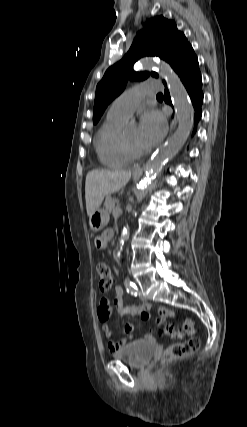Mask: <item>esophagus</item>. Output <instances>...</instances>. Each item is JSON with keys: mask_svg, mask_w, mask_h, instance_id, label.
<instances>
[{"mask_svg": "<svg viewBox=\"0 0 247 427\" xmlns=\"http://www.w3.org/2000/svg\"><path fill=\"white\" fill-rule=\"evenodd\" d=\"M174 126H175V122L173 121L172 125H171V131L173 130ZM142 171H143V169L140 166H138L134 169V173H136V174H141Z\"/></svg>", "mask_w": 247, "mask_h": 427, "instance_id": "esophagus-1", "label": "esophagus"}]
</instances>
